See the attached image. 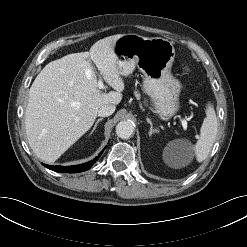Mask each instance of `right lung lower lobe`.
<instances>
[{
	"instance_id": "obj_1",
	"label": "right lung lower lobe",
	"mask_w": 247,
	"mask_h": 247,
	"mask_svg": "<svg viewBox=\"0 0 247 247\" xmlns=\"http://www.w3.org/2000/svg\"><path fill=\"white\" fill-rule=\"evenodd\" d=\"M99 157L100 155L90 162L80 164V165H74V166H66V167L65 166H50V165H44V166L56 172L78 173V172L86 171L89 168H91L92 165L98 160Z\"/></svg>"
}]
</instances>
